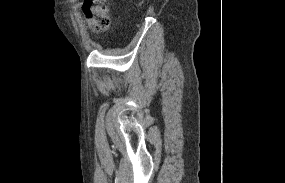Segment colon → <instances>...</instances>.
I'll use <instances>...</instances> for the list:
<instances>
[{
	"mask_svg": "<svg viewBox=\"0 0 285 183\" xmlns=\"http://www.w3.org/2000/svg\"><path fill=\"white\" fill-rule=\"evenodd\" d=\"M110 0H85L82 10L93 31H105L110 26Z\"/></svg>",
	"mask_w": 285,
	"mask_h": 183,
	"instance_id": "colon-1",
	"label": "colon"
}]
</instances>
